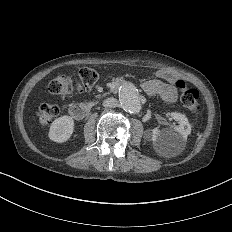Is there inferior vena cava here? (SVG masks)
<instances>
[{
  "instance_id": "inferior-vena-cava-1",
  "label": "inferior vena cava",
  "mask_w": 232,
  "mask_h": 232,
  "mask_svg": "<svg viewBox=\"0 0 232 232\" xmlns=\"http://www.w3.org/2000/svg\"><path fill=\"white\" fill-rule=\"evenodd\" d=\"M116 104H117V100L115 98H108L103 102L104 107H115Z\"/></svg>"
}]
</instances>
